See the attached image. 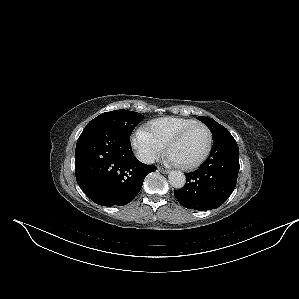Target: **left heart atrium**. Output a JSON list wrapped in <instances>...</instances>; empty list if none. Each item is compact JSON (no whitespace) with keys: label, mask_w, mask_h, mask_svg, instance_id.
<instances>
[{"label":"left heart atrium","mask_w":299,"mask_h":299,"mask_svg":"<svg viewBox=\"0 0 299 299\" xmlns=\"http://www.w3.org/2000/svg\"><path fill=\"white\" fill-rule=\"evenodd\" d=\"M167 159L172 164H175V165L178 164V161L171 154H168Z\"/></svg>","instance_id":"obj_1"}]
</instances>
